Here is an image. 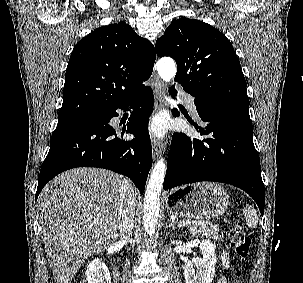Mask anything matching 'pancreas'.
Returning <instances> with one entry per match:
<instances>
[{
    "label": "pancreas",
    "instance_id": "obj_1",
    "mask_svg": "<svg viewBox=\"0 0 303 283\" xmlns=\"http://www.w3.org/2000/svg\"><path fill=\"white\" fill-rule=\"evenodd\" d=\"M181 223H184V226L194 235H206L209 238H218V226L212 222L184 218L181 220Z\"/></svg>",
    "mask_w": 303,
    "mask_h": 283
}]
</instances>
